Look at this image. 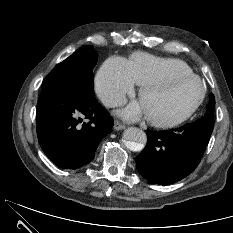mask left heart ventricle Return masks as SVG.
Here are the masks:
<instances>
[{
	"label": "left heart ventricle",
	"instance_id": "left-heart-ventricle-1",
	"mask_svg": "<svg viewBox=\"0 0 233 233\" xmlns=\"http://www.w3.org/2000/svg\"><path fill=\"white\" fill-rule=\"evenodd\" d=\"M200 93L199 83L188 79L147 90L140 102L146 115L160 120H172L185 114L198 100Z\"/></svg>",
	"mask_w": 233,
	"mask_h": 233
}]
</instances>
